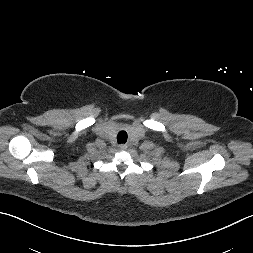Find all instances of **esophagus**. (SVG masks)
<instances>
[{
  "label": "esophagus",
  "mask_w": 253,
  "mask_h": 253,
  "mask_svg": "<svg viewBox=\"0 0 253 253\" xmlns=\"http://www.w3.org/2000/svg\"><path fill=\"white\" fill-rule=\"evenodd\" d=\"M119 148H120L121 150H125V149L127 148V145L121 144V145L119 146Z\"/></svg>",
  "instance_id": "1"
}]
</instances>
